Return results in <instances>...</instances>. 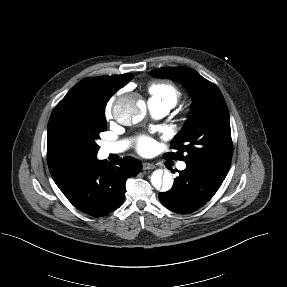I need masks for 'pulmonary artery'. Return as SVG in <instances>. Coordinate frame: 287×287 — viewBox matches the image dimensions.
<instances>
[{
	"label": "pulmonary artery",
	"mask_w": 287,
	"mask_h": 287,
	"mask_svg": "<svg viewBox=\"0 0 287 287\" xmlns=\"http://www.w3.org/2000/svg\"><path fill=\"white\" fill-rule=\"evenodd\" d=\"M148 108L151 112V114L155 117V118H161L164 117L165 115L168 114V112L170 111L171 107H169L166 104L163 103H159V102H155L152 100H149L148 102ZM128 141H118V142H113V143H105L102 146V151L105 154H112V153H120L123 152L127 149L128 147ZM178 168L180 170H183L186 168V164L184 162H180L178 164Z\"/></svg>",
	"instance_id": "1"
}]
</instances>
